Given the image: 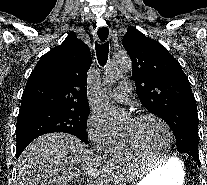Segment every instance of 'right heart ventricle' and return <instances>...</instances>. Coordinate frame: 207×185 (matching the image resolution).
<instances>
[{
	"instance_id": "1",
	"label": "right heart ventricle",
	"mask_w": 207,
	"mask_h": 185,
	"mask_svg": "<svg viewBox=\"0 0 207 185\" xmlns=\"http://www.w3.org/2000/svg\"><path fill=\"white\" fill-rule=\"evenodd\" d=\"M105 153L112 161L115 162H127L143 158L129 152L123 142V138L119 135L106 149Z\"/></svg>"
}]
</instances>
